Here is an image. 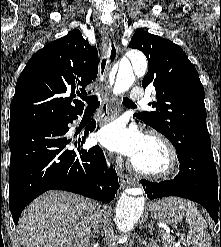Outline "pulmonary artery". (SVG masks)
<instances>
[{
    "label": "pulmonary artery",
    "instance_id": "1",
    "mask_svg": "<svg viewBox=\"0 0 221 247\" xmlns=\"http://www.w3.org/2000/svg\"><path fill=\"white\" fill-rule=\"evenodd\" d=\"M143 91L141 89L135 88L131 91L130 97L132 100H141L143 99Z\"/></svg>",
    "mask_w": 221,
    "mask_h": 247
}]
</instances>
